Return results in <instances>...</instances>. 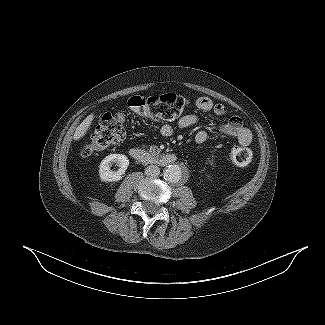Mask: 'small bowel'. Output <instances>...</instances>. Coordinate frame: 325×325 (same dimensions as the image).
Returning <instances> with one entry per match:
<instances>
[{
  "label": "small bowel",
  "mask_w": 325,
  "mask_h": 325,
  "mask_svg": "<svg viewBox=\"0 0 325 325\" xmlns=\"http://www.w3.org/2000/svg\"><path fill=\"white\" fill-rule=\"evenodd\" d=\"M195 106L198 110L204 112H213L217 116H223L226 113V107L222 103H214L208 97H199L195 101ZM199 117L196 114H186L182 116L175 125L165 124L161 126L160 133L162 136L168 137L173 134L176 128L184 129L197 125ZM219 132L222 134L233 136L237 139L241 146H248L252 141L251 131L245 127L239 116H232L229 120L219 126ZM208 139V133L204 130H199L195 134V141L198 144L206 142Z\"/></svg>",
  "instance_id": "1"
}]
</instances>
